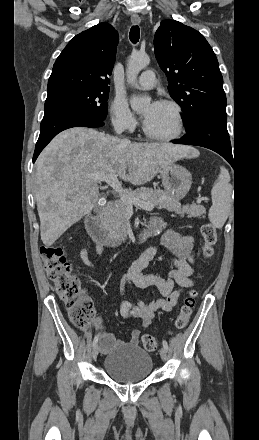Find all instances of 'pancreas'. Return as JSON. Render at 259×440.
<instances>
[{"label": "pancreas", "mask_w": 259, "mask_h": 440, "mask_svg": "<svg viewBox=\"0 0 259 440\" xmlns=\"http://www.w3.org/2000/svg\"><path fill=\"white\" fill-rule=\"evenodd\" d=\"M129 195L144 202H152L158 209H166L175 212L181 217L185 214L191 217H200L205 213V208L199 204L181 206V203L173 196L161 189L141 188ZM128 205L121 199L116 200L108 209L105 218V228L112 237H124L127 233V209Z\"/></svg>", "instance_id": "1"}]
</instances>
